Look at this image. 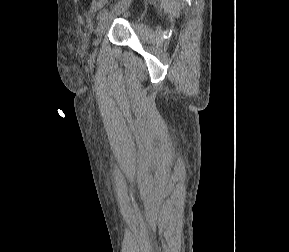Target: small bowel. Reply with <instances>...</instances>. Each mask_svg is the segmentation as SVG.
<instances>
[{"mask_svg":"<svg viewBox=\"0 0 289 252\" xmlns=\"http://www.w3.org/2000/svg\"><path fill=\"white\" fill-rule=\"evenodd\" d=\"M108 0H90L89 12L95 13L105 6Z\"/></svg>","mask_w":289,"mask_h":252,"instance_id":"c3829d8e","label":"small bowel"}]
</instances>
